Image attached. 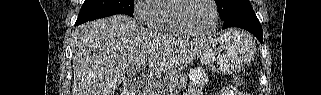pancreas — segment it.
Returning <instances> with one entry per match:
<instances>
[{"mask_svg": "<svg viewBox=\"0 0 321 95\" xmlns=\"http://www.w3.org/2000/svg\"><path fill=\"white\" fill-rule=\"evenodd\" d=\"M187 76L178 72L167 73L163 79L155 84L148 85L144 91L145 95H167L171 91L185 89Z\"/></svg>", "mask_w": 321, "mask_h": 95, "instance_id": "pancreas-1", "label": "pancreas"}]
</instances>
